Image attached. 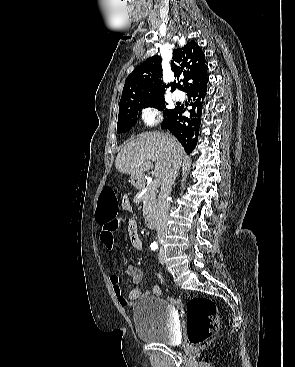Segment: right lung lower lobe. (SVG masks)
I'll use <instances>...</instances> for the list:
<instances>
[{"label":"right lung lower lobe","instance_id":"1","mask_svg":"<svg viewBox=\"0 0 295 367\" xmlns=\"http://www.w3.org/2000/svg\"><path fill=\"white\" fill-rule=\"evenodd\" d=\"M207 82L187 92V96L193 99L190 103L192 109L189 110V117L183 115L186 110L184 106H177L161 124L162 129H168L181 142L188 154L197 145Z\"/></svg>","mask_w":295,"mask_h":367}]
</instances>
